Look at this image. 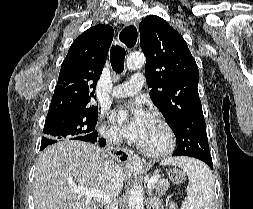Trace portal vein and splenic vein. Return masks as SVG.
Masks as SVG:
<instances>
[{
  "instance_id": "obj_1",
  "label": "portal vein and splenic vein",
  "mask_w": 253,
  "mask_h": 209,
  "mask_svg": "<svg viewBox=\"0 0 253 209\" xmlns=\"http://www.w3.org/2000/svg\"><path fill=\"white\" fill-rule=\"evenodd\" d=\"M159 177H160L159 175H155L149 180V182H148L149 189H151L154 186V184L158 181ZM74 192L81 194L87 198L100 199V200L104 201L106 204L111 203L110 197L106 193H104L100 190H97V189H88V188L77 187L74 189Z\"/></svg>"
}]
</instances>
